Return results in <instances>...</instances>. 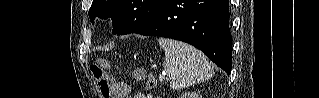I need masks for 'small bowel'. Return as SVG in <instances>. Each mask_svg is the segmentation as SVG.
<instances>
[{
  "mask_svg": "<svg viewBox=\"0 0 319 98\" xmlns=\"http://www.w3.org/2000/svg\"><path fill=\"white\" fill-rule=\"evenodd\" d=\"M113 96L114 98H129L131 93V87L129 84L123 81H112ZM135 98H150L144 94H137Z\"/></svg>",
  "mask_w": 319,
  "mask_h": 98,
  "instance_id": "c3829d8e",
  "label": "small bowel"
}]
</instances>
